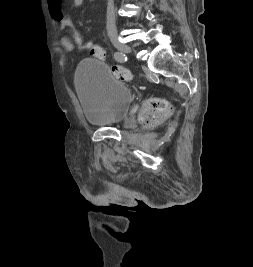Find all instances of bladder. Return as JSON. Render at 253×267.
<instances>
[{"mask_svg": "<svg viewBox=\"0 0 253 267\" xmlns=\"http://www.w3.org/2000/svg\"><path fill=\"white\" fill-rule=\"evenodd\" d=\"M75 84L84 116L93 125L115 123L132 102L129 87L98 59L81 62Z\"/></svg>", "mask_w": 253, "mask_h": 267, "instance_id": "bladder-1", "label": "bladder"}]
</instances>
